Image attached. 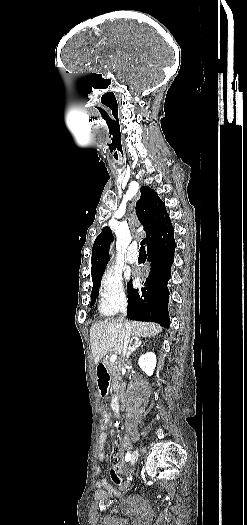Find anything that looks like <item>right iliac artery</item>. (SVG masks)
Listing matches in <instances>:
<instances>
[{
	"label": "right iliac artery",
	"mask_w": 247,
	"mask_h": 525,
	"mask_svg": "<svg viewBox=\"0 0 247 525\" xmlns=\"http://www.w3.org/2000/svg\"><path fill=\"white\" fill-rule=\"evenodd\" d=\"M125 460L126 461H130L131 460V454L130 453H127L126 456H125Z\"/></svg>",
	"instance_id": "right-iliac-artery-1"
}]
</instances>
